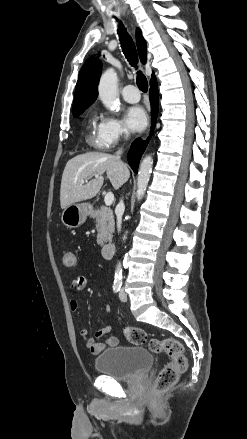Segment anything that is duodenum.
I'll list each match as a JSON object with an SVG mask.
<instances>
[{"mask_svg": "<svg viewBox=\"0 0 247 439\" xmlns=\"http://www.w3.org/2000/svg\"><path fill=\"white\" fill-rule=\"evenodd\" d=\"M114 251H115V246L113 243H107L101 249L102 256L107 259L113 256Z\"/></svg>", "mask_w": 247, "mask_h": 439, "instance_id": "duodenum-1", "label": "duodenum"}]
</instances>
